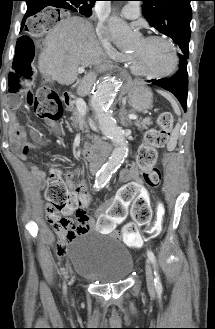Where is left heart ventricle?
<instances>
[{
	"label": "left heart ventricle",
	"instance_id": "obj_1",
	"mask_svg": "<svg viewBox=\"0 0 215 329\" xmlns=\"http://www.w3.org/2000/svg\"><path fill=\"white\" fill-rule=\"evenodd\" d=\"M139 66L149 73L169 71L174 64V55L170 45L163 40L145 41L141 38L133 47Z\"/></svg>",
	"mask_w": 215,
	"mask_h": 329
}]
</instances>
